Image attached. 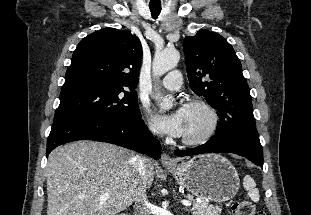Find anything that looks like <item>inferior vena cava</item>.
Wrapping results in <instances>:
<instances>
[{"instance_id": "obj_1", "label": "inferior vena cava", "mask_w": 311, "mask_h": 215, "mask_svg": "<svg viewBox=\"0 0 311 215\" xmlns=\"http://www.w3.org/2000/svg\"><path fill=\"white\" fill-rule=\"evenodd\" d=\"M152 131L155 133L156 130L155 129H152ZM131 165H132V168L139 172L140 174L144 175L145 173V164H146V159L141 157L140 155H134L132 156L131 160ZM141 215H150V212L149 210L146 208V207H143L141 208Z\"/></svg>"}]
</instances>
